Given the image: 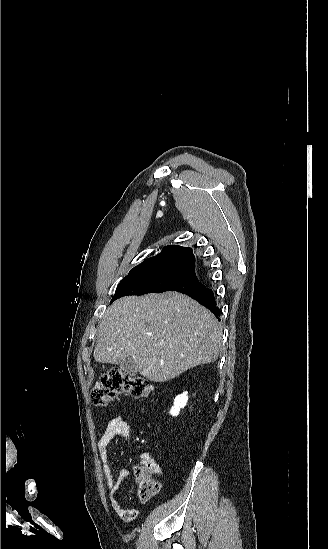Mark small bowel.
Here are the masks:
<instances>
[{"label":"small bowel","mask_w":328,"mask_h":549,"mask_svg":"<svg viewBox=\"0 0 328 549\" xmlns=\"http://www.w3.org/2000/svg\"><path fill=\"white\" fill-rule=\"evenodd\" d=\"M114 438L127 439L129 442L132 441L131 424L127 418L121 415L113 417L108 422L98 442V452L101 459L106 484L109 489V498L111 501V505L122 518L126 519L129 513H135V511L124 508L118 498V494L123 483L127 480L130 473L129 470L122 469L119 471L117 477H114L113 475L111 460L109 456V445ZM140 463L142 464L143 469H145L149 475L160 476L163 474L162 466L148 453H143L140 455ZM160 488L161 484L157 481L152 480V487L150 490V494L147 498L155 495L160 490Z\"/></svg>","instance_id":"obj_1"}]
</instances>
